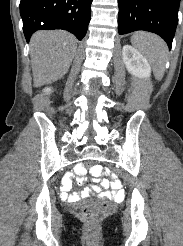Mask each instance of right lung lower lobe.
Segmentation results:
<instances>
[{"instance_id": "right-lung-lower-lobe-1", "label": "right lung lower lobe", "mask_w": 183, "mask_h": 246, "mask_svg": "<svg viewBox=\"0 0 183 246\" xmlns=\"http://www.w3.org/2000/svg\"><path fill=\"white\" fill-rule=\"evenodd\" d=\"M92 0H21L20 15L27 42L37 30L63 29L78 40L86 35Z\"/></svg>"}]
</instances>
